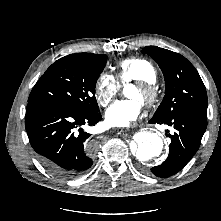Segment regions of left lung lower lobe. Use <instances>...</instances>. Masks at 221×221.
I'll list each match as a JSON object with an SVG mask.
<instances>
[{
  "label": "left lung lower lobe",
  "instance_id": "1",
  "mask_svg": "<svg viewBox=\"0 0 221 221\" xmlns=\"http://www.w3.org/2000/svg\"><path fill=\"white\" fill-rule=\"evenodd\" d=\"M150 123L167 124L175 129L171 137L169 155L159 166L151 168L158 177H169L182 170L197 152L207 127V119L196 114H177L166 120H150Z\"/></svg>",
  "mask_w": 221,
  "mask_h": 221
}]
</instances>
